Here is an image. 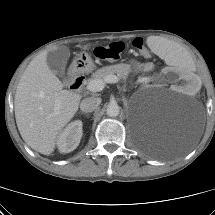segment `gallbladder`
I'll list each match as a JSON object with an SVG mask.
<instances>
[{
	"label": "gallbladder",
	"mask_w": 215,
	"mask_h": 215,
	"mask_svg": "<svg viewBox=\"0 0 215 215\" xmlns=\"http://www.w3.org/2000/svg\"><path fill=\"white\" fill-rule=\"evenodd\" d=\"M70 52L67 47H58L55 50H51L47 53L46 62L48 67L59 77H62L64 81H67L65 75L67 61L69 59Z\"/></svg>",
	"instance_id": "1"
}]
</instances>
